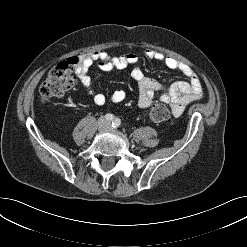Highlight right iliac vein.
I'll list each match as a JSON object with an SVG mask.
<instances>
[{"label":"right iliac vein","instance_id":"63e3f726","mask_svg":"<svg viewBox=\"0 0 247 247\" xmlns=\"http://www.w3.org/2000/svg\"><path fill=\"white\" fill-rule=\"evenodd\" d=\"M104 126H105V120L104 119H100L99 122H98V128L100 130L104 129Z\"/></svg>","mask_w":247,"mask_h":247}]
</instances>
